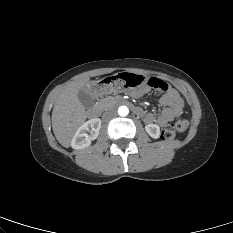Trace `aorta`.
Returning a JSON list of instances; mask_svg holds the SVG:
<instances>
[{
	"mask_svg": "<svg viewBox=\"0 0 233 233\" xmlns=\"http://www.w3.org/2000/svg\"><path fill=\"white\" fill-rule=\"evenodd\" d=\"M128 113H129L128 107H126V106H120V107L118 108V114H119L120 116L125 117V116L128 115Z\"/></svg>",
	"mask_w": 233,
	"mask_h": 233,
	"instance_id": "1",
	"label": "aorta"
}]
</instances>
